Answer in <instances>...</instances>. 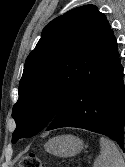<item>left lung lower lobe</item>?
Wrapping results in <instances>:
<instances>
[{"label": "left lung lower lobe", "mask_w": 125, "mask_h": 167, "mask_svg": "<svg viewBox=\"0 0 125 167\" xmlns=\"http://www.w3.org/2000/svg\"><path fill=\"white\" fill-rule=\"evenodd\" d=\"M117 42L110 29L100 45L88 75L46 127L83 128L103 134L123 148L125 85Z\"/></svg>", "instance_id": "1"}]
</instances>
